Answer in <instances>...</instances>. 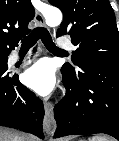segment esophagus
<instances>
[{"mask_svg":"<svg viewBox=\"0 0 119 141\" xmlns=\"http://www.w3.org/2000/svg\"><path fill=\"white\" fill-rule=\"evenodd\" d=\"M35 21L38 25L44 27L45 21L42 14L39 11L35 13ZM45 116L43 121V128L47 134H53L56 130V121L54 119V111L51 102H44Z\"/></svg>","mask_w":119,"mask_h":141,"instance_id":"1","label":"esophagus"}]
</instances>
